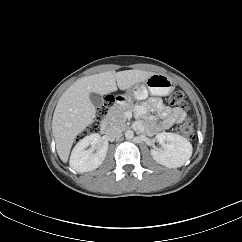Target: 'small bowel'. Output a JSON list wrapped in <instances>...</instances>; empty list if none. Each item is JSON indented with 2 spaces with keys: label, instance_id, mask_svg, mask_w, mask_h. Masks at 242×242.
<instances>
[{
  "label": "small bowel",
  "instance_id": "small-bowel-1",
  "mask_svg": "<svg viewBox=\"0 0 242 242\" xmlns=\"http://www.w3.org/2000/svg\"><path fill=\"white\" fill-rule=\"evenodd\" d=\"M148 111L157 112L161 116L160 123L156 124L153 121L149 120L147 124L145 120L141 119L136 123V128L138 130L149 129L153 132H159L170 128L171 126L182 121L185 118L184 112L167 107L163 105L158 99H154L150 103L140 104L135 109L136 115L140 118H144L145 114Z\"/></svg>",
  "mask_w": 242,
  "mask_h": 242
}]
</instances>
